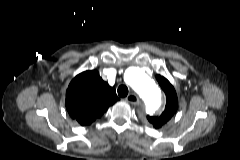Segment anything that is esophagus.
I'll list each match as a JSON object with an SVG mask.
<instances>
[{"label":"esophagus","mask_w":240,"mask_h":160,"mask_svg":"<svg viewBox=\"0 0 240 160\" xmlns=\"http://www.w3.org/2000/svg\"><path fill=\"white\" fill-rule=\"evenodd\" d=\"M126 101L132 105H137L139 104V98L137 95L135 94H129L127 97H126Z\"/></svg>","instance_id":"1"}]
</instances>
